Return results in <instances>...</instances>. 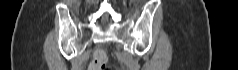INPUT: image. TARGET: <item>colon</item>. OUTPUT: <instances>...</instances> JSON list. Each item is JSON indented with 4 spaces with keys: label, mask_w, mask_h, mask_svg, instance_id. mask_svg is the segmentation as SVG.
<instances>
[{
    "label": "colon",
    "mask_w": 238,
    "mask_h": 70,
    "mask_svg": "<svg viewBox=\"0 0 238 70\" xmlns=\"http://www.w3.org/2000/svg\"><path fill=\"white\" fill-rule=\"evenodd\" d=\"M108 58L104 50L98 49L94 53L93 60L89 66V70H104L106 68Z\"/></svg>",
    "instance_id": "obj_1"
}]
</instances>
